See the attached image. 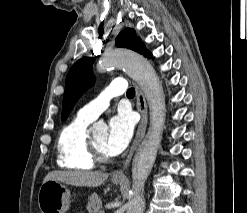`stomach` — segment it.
Returning <instances> with one entry per match:
<instances>
[{
	"mask_svg": "<svg viewBox=\"0 0 247 213\" xmlns=\"http://www.w3.org/2000/svg\"><path fill=\"white\" fill-rule=\"evenodd\" d=\"M112 182L120 184L121 180L112 179ZM70 203V191L66 185L54 180L43 182L38 193L41 213H65Z\"/></svg>",
	"mask_w": 247,
	"mask_h": 213,
	"instance_id": "obj_1",
	"label": "stomach"
}]
</instances>
